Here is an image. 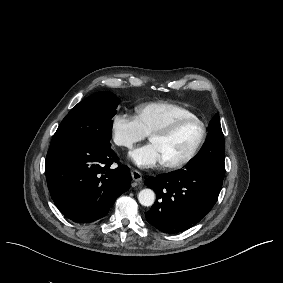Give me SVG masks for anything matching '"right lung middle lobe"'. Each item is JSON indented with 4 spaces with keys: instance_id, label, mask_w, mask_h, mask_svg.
Listing matches in <instances>:
<instances>
[{
    "instance_id": "right-lung-middle-lobe-1",
    "label": "right lung middle lobe",
    "mask_w": 283,
    "mask_h": 283,
    "mask_svg": "<svg viewBox=\"0 0 283 283\" xmlns=\"http://www.w3.org/2000/svg\"><path fill=\"white\" fill-rule=\"evenodd\" d=\"M117 97L97 92L78 103L62 120L55 141H88L110 147L111 118L116 113Z\"/></svg>"
}]
</instances>
